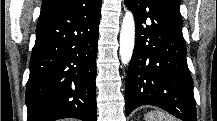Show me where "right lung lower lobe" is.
I'll return each mask as SVG.
<instances>
[{
  "mask_svg": "<svg viewBox=\"0 0 217 121\" xmlns=\"http://www.w3.org/2000/svg\"><path fill=\"white\" fill-rule=\"evenodd\" d=\"M102 0L41 13L26 87L28 121H96V56Z\"/></svg>",
  "mask_w": 217,
  "mask_h": 121,
  "instance_id": "98d812e1",
  "label": "right lung lower lobe"
}]
</instances>
